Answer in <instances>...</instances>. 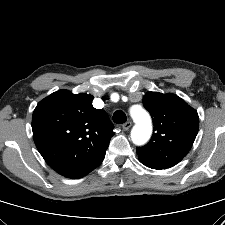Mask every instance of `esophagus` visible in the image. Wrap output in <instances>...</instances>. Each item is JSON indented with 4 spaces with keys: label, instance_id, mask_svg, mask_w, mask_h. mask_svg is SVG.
<instances>
[{
    "label": "esophagus",
    "instance_id": "obj_1",
    "mask_svg": "<svg viewBox=\"0 0 225 225\" xmlns=\"http://www.w3.org/2000/svg\"><path fill=\"white\" fill-rule=\"evenodd\" d=\"M132 123L131 122H126L122 125L123 130L127 131L131 128Z\"/></svg>",
    "mask_w": 225,
    "mask_h": 225
}]
</instances>
